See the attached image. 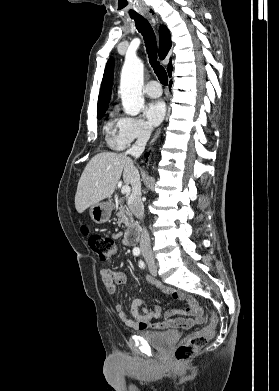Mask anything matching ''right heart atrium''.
Returning a JSON list of instances; mask_svg holds the SVG:
<instances>
[{
	"mask_svg": "<svg viewBox=\"0 0 279 391\" xmlns=\"http://www.w3.org/2000/svg\"><path fill=\"white\" fill-rule=\"evenodd\" d=\"M117 133L113 146L125 149L134 142L145 141L151 132L149 124L140 117L122 115L116 121Z\"/></svg>",
	"mask_w": 279,
	"mask_h": 391,
	"instance_id": "d8ad5b80",
	"label": "right heart atrium"
}]
</instances>
